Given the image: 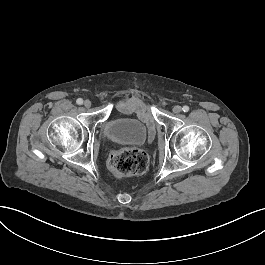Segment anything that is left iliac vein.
<instances>
[{
    "instance_id": "left-iliac-vein-1",
    "label": "left iliac vein",
    "mask_w": 265,
    "mask_h": 265,
    "mask_svg": "<svg viewBox=\"0 0 265 265\" xmlns=\"http://www.w3.org/2000/svg\"><path fill=\"white\" fill-rule=\"evenodd\" d=\"M181 111H182L181 106L176 105V106L173 107V112L174 113H180Z\"/></svg>"
}]
</instances>
